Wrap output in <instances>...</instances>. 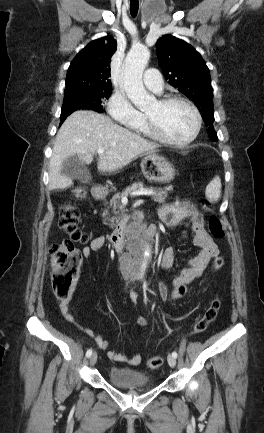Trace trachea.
<instances>
[{
  "instance_id": "3493384b",
  "label": "trachea",
  "mask_w": 264,
  "mask_h": 433,
  "mask_svg": "<svg viewBox=\"0 0 264 433\" xmlns=\"http://www.w3.org/2000/svg\"><path fill=\"white\" fill-rule=\"evenodd\" d=\"M139 8V1L138 0H131L130 2V13L132 17H136L138 13Z\"/></svg>"
}]
</instances>
